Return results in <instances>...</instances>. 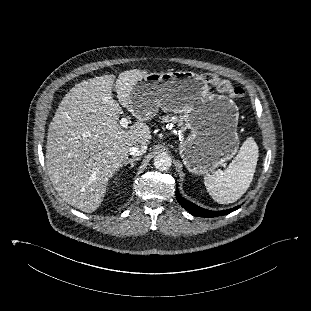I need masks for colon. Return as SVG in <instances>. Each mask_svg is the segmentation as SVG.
Listing matches in <instances>:
<instances>
[{
  "mask_svg": "<svg viewBox=\"0 0 311 311\" xmlns=\"http://www.w3.org/2000/svg\"><path fill=\"white\" fill-rule=\"evenodd\" d=\"M207 82L214 86L217 90L227 93L231 98L239 99L244 97L245 91L241 87L233 86L232 83L224 78L214 74H209L206 77Z\"/></svg>",
  "mask_w": 311,
  "mask_h": 311,
  "instance_id": "colon-1",
  "label": "colon"
}]
</instances>
